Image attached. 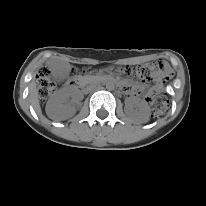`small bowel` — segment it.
Wrapping results in <instances>:
<instances>
[{"label":"small bowel","instance_id":"1","mask_svg":"<svg viewBox=\"0 0 206 206\" xmlns=\"http://www.w3.org/2000/svg\"><path fill=\"white\" fill-rule=\"evenodd\" d=\"M157 86L158 87H161L162 86V83H161V77H157Z\"/></svg>","mask_w":206,"mask_h":206}]
</instances>
